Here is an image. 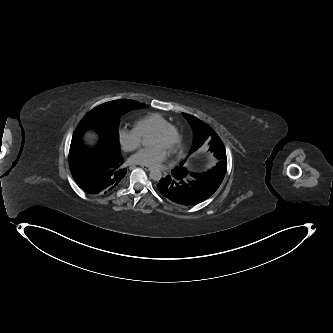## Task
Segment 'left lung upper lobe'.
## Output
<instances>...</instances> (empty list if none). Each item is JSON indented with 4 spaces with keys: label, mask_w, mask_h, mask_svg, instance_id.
Listing matches in <instances>:
<instances>
[{
    "label": "left lung upper lobe",
    "mask_w": 333,
    "mask_h": 333,
    "mask_svg": "<svg viewBox=\"0 0 333 333\" xmlns=\"http://www.w3.org/2000/svg\"><path fill=\"white\" fill-rule=\"evenodd\" d=\"M183 115L191 124L194 132V143L190 153L196 151L204 143L209 145L216 144L220 148V154H214L219 160L215 167L207 172L191 174V179L197 180L208 186L211 190L216 191L220 186L227 169V159L223 144L218 135L204 122L191 115L185 113H183ZM182 165L183 163L180 164V167H177L174 170L178 174L186 176L188 172L182 167Z\"/></svg>",
    "instance_id": "obj_1"
}]
</instances>
